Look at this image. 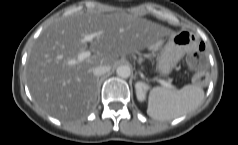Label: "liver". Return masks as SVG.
Returning a JSON list of instances; mask_svg holds the SVG:
<instances>
[{"instance_id":"liver-1","label":"liver","mask_w":238,"mask_h":145,"mask_svg":"<svg viewBox=\"0 0 238 145\" xmlns=\"http://www.w3.org/2000/svg\"><path fill=\"white\" fill-rule=\"evenodd\" d=\"M170 31L127 13L101 14L78 11L56 19L40 34L26 64L27 85L36 104L49 115L77 119L96 103L99 65H116L119 57L149 47ZM93 34L92 41H85ZM93 55L75 65L71 59L87 51Z\"/></svg>"}]
</instances>
